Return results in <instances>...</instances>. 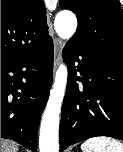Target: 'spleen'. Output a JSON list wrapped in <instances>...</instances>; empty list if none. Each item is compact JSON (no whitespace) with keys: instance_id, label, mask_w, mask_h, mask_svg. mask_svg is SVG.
<instances>
[{"instance_id":"1","label":"spleen","mask_w":123,"mask_h":152,"mask_svg":"<svg viewBox=\"0 0 123 152\" xmlns=\"http://www.w3.org/2000/svg\"><path fill=\"white\" fill-rule=\"evenodd\" d=\"M83 152H123V144L110 137H93L82 145Z\"/></svg>"}]
</instances>
